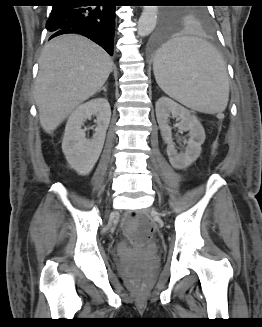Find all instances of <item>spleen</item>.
<instances>
[{
	"mask_svg": "<svg viewBox=\"0 0 262 327\" xmlns=\"http://www.w3.org/2000/svg\"><path fill=\"white\" fill-rule=\"evenodd\" d=\"M153 71L159 87L181 104L209 114L225 110L229 100L226 64L207 41L173 38L157 51Z\"/></svg>",
	"mask_w": 262,
	"mask_h": 327,
	"instance_id": "1",
	"label": "spleen"
}]
</instances>
